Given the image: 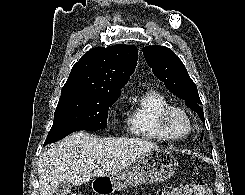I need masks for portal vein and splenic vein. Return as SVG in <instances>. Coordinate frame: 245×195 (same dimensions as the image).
Segmentation results:
<instances>
[{"label":"portal vein and splenic vein","instance_id":"1","mask_svg":"<svg viewBox=\"0 0 245 195\" xmlns=\"http://www.w3.org/2000/svg\"><path fill=\"white\" fill-rule=\"evenodd\" d=\"M97 168V165H92V166H90V169L91 170H94V169H96Z\"/></svg>","mask_w":245,"mask_h":195}]
</instances>
